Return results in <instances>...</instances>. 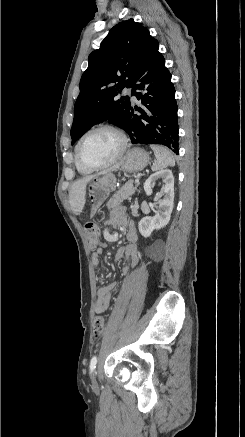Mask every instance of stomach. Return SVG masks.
Returning <instances> with one entry per match:
<instances>
[{
	"mask_svg": "<svg viewBox=\"0 0 245 437\" xmlns=\"http://www.w3.org/2000/svg\"><path fill=\"white\" fill-rule=\"evenodd\" d=\"M149 160V155L145 150L132 148L127 152L125 160L121 164V169L127 172H139L148 165ZM116 181L117 179L111 171L106 172L102 176H96L90 181L87 187V194L93 213L108 198L110 192L115 190Z\"/></svg>",
	"mask_w": 245,
	"mask_h": 437,
	"instance_id": "stomach-1",
	"label": "stomach"
}]
</instances>
